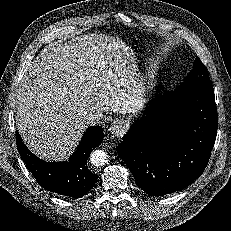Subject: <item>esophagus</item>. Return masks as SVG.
I'll return each mask as SVG.
<instances>
[{
  "instance_id": "obj_1",
  "label": "esophagus",
  "mask_w": 231,
  "mask_h": 231,
  "mask_svg": "<svg viewBox=\"0 0 231 231\" xmlns=\"http://www.w3.org/2000/svg\"><path fill=\"white\" fill-rule=\"evenodd\" d=\"M126 127L121 120H113L109 126L108 131L115 137L122 136L125 133Z\"/></svg>"
}]
</instances>
